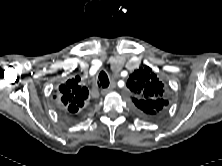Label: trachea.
<instances>
[{
    "label": "trachea",
    "instance_id": "obj_1",
    "mask_svg": "<svg viewBox=\"0 0 222 166\" xmlns=\"http://www.w3.org/2000/svg\"><path fill=\"white\" fill-rule=\"evenodd\" d=\"M99 81H100V85L102 86V88H107L109 86V78L107 76V74L104 71H101L99 74Z\"/></svg>",
    "mask_w": 222,
    "mask_h": 166
}]
</instances>
